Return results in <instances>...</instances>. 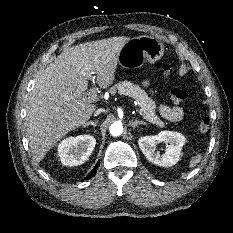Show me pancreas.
Segmentation results:
<instances>
[{
    "label": "pancreas",
    "instance_id": "pancreas-1",
    "mask_svg": "<svg viewBox=\"0 0 233 233\" xmlns=\"http://www.w3.org/2000/svg\"><path fill=\"white\" fill-rule=\"evenodd\" d=\"M118 91L119 94L128 96L136 100L140 107L141 115L144 119L159 127H164V122L156 115L155 102L148 97L147 93L138 85L130 81H122L112 87V92Z\"/></svg>",
    "mask_w": 233,
    "mask_h": 233
}]
</instances>
